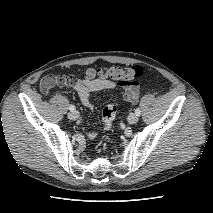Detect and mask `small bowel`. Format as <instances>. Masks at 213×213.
I'll use <instances>...</instances> for the list:
<instances>
[{
    "label": "small bowel",
    "mask_w": 213,
    "mask_h": 213,
    "mask_svg": "<svg viewBox=\"0 0 213 213\" xmlns=\"http://www.w3.org/2000/svg\"><path fill=\"white\" fill-rule=\"evenodd\" d=\"M56 85L73 87L77 91L84 107L88 109L92 107L90 102V95L92 93L103 90H111L116 87V83L111 80L92 77H88L82 80H77L74 78L71 83H60L56 80L55 75H49L43 78L40 86L42 92L48 94ZM131 91L132 96L124 97V99L130 103H135L138 100L139 89L138 87H135ZM96 136L97 134L95 132L88 134L90 139H94Z\"/></svg>",
    "instance_id": "1"
}]
</instances>
